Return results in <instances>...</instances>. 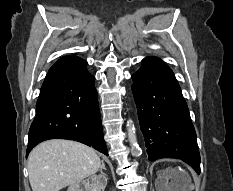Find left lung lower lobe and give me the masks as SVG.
Here are the masks:
<instances>
[{"label":"left lung lower lobe","mask_w":233,"mask_h":191,"mask_svg":"<svg viewBox=\"0 0 233 191\" xmlns=\"http://www.w3.org/2000/svg\"><path fill=\"white\" fill-rule=\"evenodd\" d=\"M132 79L149 160L178 158L200 173L196 132L172 70L159 58L146 57Z\"/></svg>","instance_id":"0a47b994"}]
</instances>
